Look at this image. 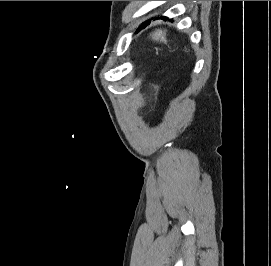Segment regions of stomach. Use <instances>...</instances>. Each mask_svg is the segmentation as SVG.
I'll return each mask as SVG.
<instances>
[{
  "label": "stomach",
  "instance_id": "stomach-1",
  "mask_svg": "<svg viewBox=\"0 0 271 266\" xmlns=\"http://www.w3.org/2000/svg\"><path fill=\"white\" fill-rule=\"evenodd\" d=\"M152 39L154 41H160V42H163L165 41V37H164V34L161 33V32H156L152 35Z\"/></svg>",
  "mask_w": 271,
  "mask_h": 266
}]
</instances>
